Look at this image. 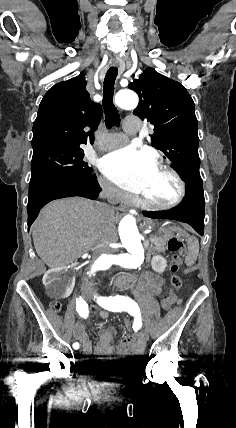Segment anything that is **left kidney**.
Segmentation results:
<instances>
[{"label": "left kidney", "instance_id": "obj_1", "mask_svg": "<svg viewBox=\"0 0 236 428\" xmlns=\"http://www.w3.org/2000/svg\"><path fill=\"white\" fill-rule=\"evenodd\" d=\"M151 266L154 272L162 274V272H165V268H167V260H165L163 256H153L151 260Z\"/></svg>", "mask_w": 236, "mask_h": 428}]
</instances>
